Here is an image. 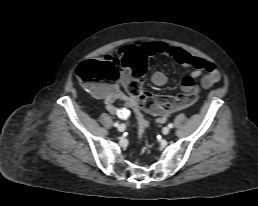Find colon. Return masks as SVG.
Here are the masks:
<instances>
[{"instance_id": "obj_1", "label": "colon", "mask_w": 258, "mask_h": 206, "mask_svg": "<svg viewBox=\"0 0 258 206\" xmlns=\"http://www.w3.org/2000/svg\"><path fill=\"white\" fill-rule=\"evenodd\" d=\"M76 72L79 81L94 91L98 90L102 84H112L122 79L132 99V105L136 109L137 127L141 137L148 127V122L137 108L160 116L188 108L197 101V95L193 92L172 97H159L146 91L143 84L146 57L140 53L126 58L122 62L121 72L116 64L107 58L84 61L78 65Z\"/></svg>"}]
</instances>
